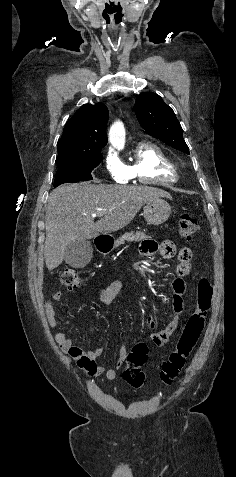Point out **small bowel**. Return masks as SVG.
<instances>
[{"label": "small bowel", "instance_id": "small-bowel-1", "mask_svg": "<svg viewBox=\"0 0 236 477\" xmlns=\"http://www.w3.org/2000/svg\"><path fill=\"white\" fill-rule=\"evenodd\" d=\"M140 252L146 257H151L158 253L163 259H170L177 254L179 260L176 267L177 278L172 283V319L162 330L155 331L152 335L154 345L158 348H162L168 343L171 336L176 331L180 316L184 310L183 297L185 294V285L182 277L188 275L191 270V251L186 246L177 250L175 244L170 240L163 241L159 245L154 241L146 240L141 244ZM122 287L123 282L120 279L109 282L100 292L99 299L101 304L105 306L112 304ZM61 299L62 293L58 291L53 294L52 301H46L44 304L45 316L49 326L52 328L57 325L54 303H59ZM151 327H153V324H151ZM55 340L63 352L73 359L77 366L90 376L105 374L108 380H113L117 375V371L123 368L126 363L128 348L125 345L119 348L116 365L113 368L105 370V368L96 361L103 352L102 348L98 347L85 351L82 348L73 345L71 339L62 332L55 335Z\"/></svg>", "mask_w": 236, "mask_h": 477}]
</instances>
